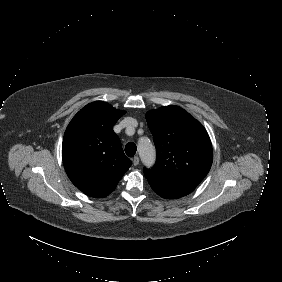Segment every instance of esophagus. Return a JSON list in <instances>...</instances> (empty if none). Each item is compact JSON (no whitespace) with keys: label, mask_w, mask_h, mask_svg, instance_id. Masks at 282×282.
I'll return each instance as SVG.
<instances>
[{"label":"esophagus","mask_w":282,"mask_h":282,"mask_svg":"<svg viewBox=\"0 0 282 282\" xmlns=\"http://www.w3.org/2000/svg\"><path fill=\"white\" fill-rule=\"evenodd\" d=\"M139 164V157L138 156H134L133 158V165L137 166Z\"/></svg>","instance_id":"esophagus-1"}]
</instances>
